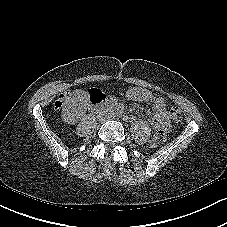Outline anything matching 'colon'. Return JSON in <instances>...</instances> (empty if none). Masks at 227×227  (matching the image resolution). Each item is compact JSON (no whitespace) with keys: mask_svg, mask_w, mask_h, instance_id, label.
<instances>
[{"mask_svg":"<svg viewBox=\"0 0 227 227\" xmlns=\"http://www.w3.org/2000/svg\"><path fill=\"white\" fill-rule=\"evenodd\" d=\"M63 100H64V95L61 96L58 99V101H56V103H55L56 109H59L61 107V105L63 103ZM170 117H171V119L174 122L179 123L182 120V112H181V110L178 107H176V106L172 107L170 109ZM165 140H166L165 133L162 130H159V131H157L154 134V136H153V138H152V140L150 142V147L151 148H156V147L162 145L165 142Z\"/></svg>","mask_w":227,"mask_h":227,"instance_id":"colon-1","label":"colon"}]
</instances>
